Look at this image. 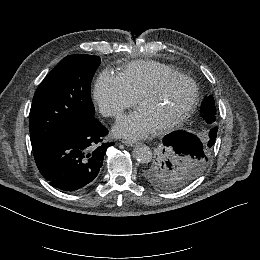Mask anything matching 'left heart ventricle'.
Here are the masks:
<instances>
[{
    "label": "left heart ventricle",
    "instance_id": "obj_1",
    "mask_svg": "<svg viewBox=\"0 0 260 260\" xmlns=\"http://www.w3.org/2000/svg\"><path fill=\"white\" fill-rule=\"evenodd\" d=\"M193 84L185 79H177L165 84L156 94L142 100V108L152 123L158 126L180 116L194 96Z\"/></svg>",
    "mask_w": 260,
    "mask_h": 260
}]
</instances>
